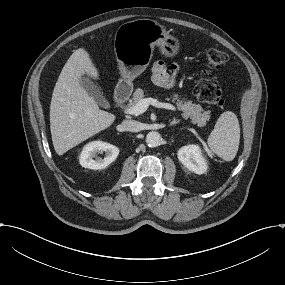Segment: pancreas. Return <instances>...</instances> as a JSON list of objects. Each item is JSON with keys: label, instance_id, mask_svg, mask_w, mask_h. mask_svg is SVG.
<instances>
[{"label": "pancreas", "instance_id": "obj_1", "mask_svg": "<svg viewBox=\"0 0 285 285\" xmlns=\"http://www.w3.org/2000/svg\"><path fill=\"white\" fill-rule=\"evenodd\" d=\"M144 91L141 88H137L133 93V98L130 100L127 108L135 106L141 99L144 98ZM178 94H174L172 102H176L179 110L183 112L182 116L187 119L190 118L193 124H198L199 127L206 125V122L210 119V112L203 110L200 104H193L192 101L178 100Z\"/></svg>", "mask_w": 285, "mask_h": 285}]
</instances>
